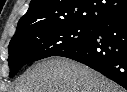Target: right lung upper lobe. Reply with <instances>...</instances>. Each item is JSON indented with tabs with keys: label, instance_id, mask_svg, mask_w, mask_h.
<instances>
[{
	"label": "right lung upper lobe",
	"instance_id": "1",
	"mask_svg": "<svg viewBox=\"0 0 127 92\" xmlns=\"http://www.w3.org/2000/svg\"><path fill=\"white\" fill-rule=\"evenodd\" d=\"M127 12V0H31L14 37L40 27L97 25Z\"/></svg>",
	"mask_w": 127,
	"mask_h": 92
}]
</instances>
